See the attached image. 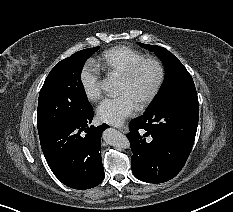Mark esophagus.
<instances>
[{
    "mask_svg": "<svg viewBox=\"0 0 233 212\" xmlns=\"http://www.w3.org/2000/svg\"><path fill=\"white\" fill-rule=\"evenodd\" d=\"M118 129H119L121 132H123V133H127L128 130H129L128 127L125 126V125H124V126H119Z\"/></svg>",
    "mask_w": 233,
    "mask_h": 212,
    "instance_id": "34e87169",
    "label": "esophagus"
}]
</instances>
